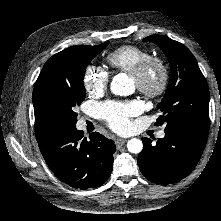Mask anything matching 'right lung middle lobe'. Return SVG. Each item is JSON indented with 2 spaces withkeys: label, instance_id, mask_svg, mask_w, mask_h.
I'll list each match as a JSON object with an SVG mask.
<instances>
[{
  "label": "right lung middle lobe",
  "instance_id": "dd1d6c3e",
  "mask_svg": "<svg viewBox=\"0 0 221 221\" xmlns=\"http://www.w3.org/2000/svg\"><path fill=\"white\" fill-rule=\"evenodd\" d=\"M108 43L79 46L73 53L56 59L42 77L40 95L58 115L60 127L76 126L74 107L86 97L83 82L86 67Z\"/></svg>",
  "mask_w": 221,
  "mask_h": 221
}]
</instances>
